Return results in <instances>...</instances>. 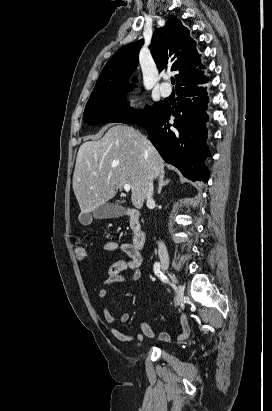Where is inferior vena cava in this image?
Instances as JSON below:
<instances>
[{"label":"inferior vena cava","instance_id":"602c4592","mask_svg":"<svg viewBox=\"0 0 272 411\" xmlns=\"http://www.w3.org/2000/svg\"><path fill=\"white\" fill-rule=\"evenodd\" d=\"M152 196H153V181L150 180L148 183L147 194H146L148 205L154 203ZM158 255L162 262L169 261L168 251L163 241L158 242Z\"/></svg>","mask_w":272,"mask_h":411}]
</instances>
